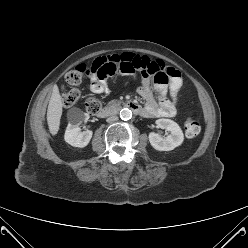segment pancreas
Listing matches in <instances>:
<instances>
[{"instance_id":"pancreas-1","label":"pancreas","mask_w":248,"mask_h":248,"mask_svg":"<svg viewBox=\"0 0 248 248\" xmlns=\"http://www.w3.org/2000/svg\"><path fill=\"white\" fill-rule=\"evenodd\" d=\"M120 104V101L119 100H111L109 103H108V107L109 108H114L116 106H118Z\"/></svg>"}]
</instances>
